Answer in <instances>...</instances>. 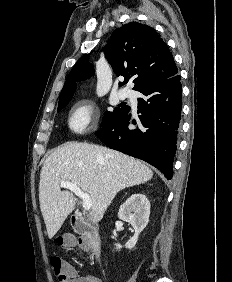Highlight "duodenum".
I'll use <instances>...</instances> for the list:
<instances>
[{
    "label": "duodenum",
    "instance_id": "410a0bca",
    "mask_svg": "<svg viewBox=\"0 0 232 282\" xmlns=\"http://www.w3.org/2000/svg\"><path fill=\"white\" fill-rule=\"evenodd\" d=\"M74 230L87 239V244L93 255L98 258L101 254V239L98 230L80 216L72 217Z\"/></svg>",
    "mask_w": 232,
    "mask_h": 282
}]
</instances>
